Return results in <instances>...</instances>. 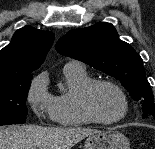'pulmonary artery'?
<instances>
[{
    "mask_svg": "<svg viewBox=\"0 0 155 149\" xmlns=\"http://www.w3.org/2000/svg\"><path fill=\"white\" fill-rule=\"evenodd\" d=\"M65 66H82V65L79 62L71 61V62H68Z\"/></svg>",
    "mask_w": 155,
    "mask_h": 149,
    "instance_id": "e3ab8cb5",
    "label": "pulmonary artery"
}]
</instances>
